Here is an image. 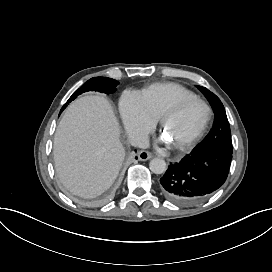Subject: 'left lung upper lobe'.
I'll use <instances>...</instances> for the list:
<instances>
[{"label": "left lung upper lobe", "instance_id": "5c2ea615", "mask_svg": "<svg viewBox=\"0 0 272 272\" xmlns=\"http://www.w3.org/2000/svg\"><path fill=\"white\" fill-rule=\"evenodd\" d=\"M209 100L215 113L212 131L193 149L192 152L204 150H221L232 153L230 126L224 106L220 99L205 87L198 86Z\"/></svg>", "mask_w": 272, "mask_h": 272}]
</instances>
